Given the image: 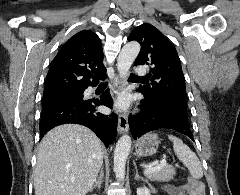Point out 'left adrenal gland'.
<instances>
[{
    "instance_id": "1",
    "label": "left adrenal gland",
    "mask_w": 240,
    "mask_h": 195,
    "mask_svg": "<svg viewBox=\"0 0 240 195\" xmlns=\"http://www.w3.org/2000/svg\"><path fill=\"white\" fill-rule=\"evenodd\" d=\"M134 165L136 169L135 179H142V181H146V183H149L148 179H144V177H141V175H139L136 163H134Z\"/></svg>"
}]
</instances>
